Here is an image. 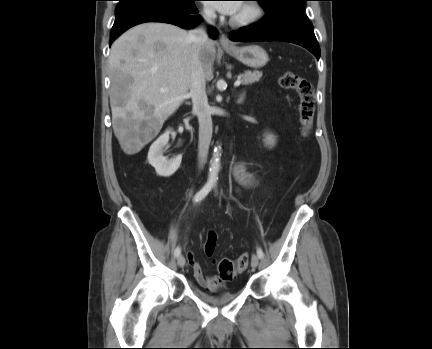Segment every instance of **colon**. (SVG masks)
<instances>
[{
    "label": "colon",
    "mask_w": 432,
    "mask_h": 349,
    "mask_svg": "<svg viewBox=\"0 0 432 349\" xmlns=\"http://www.w3.org/2000/svg\"><path fill=\"white\" fill-rule=\"evenodd\" d=\"M279 85L284 89L294 90L299 96V121L303 135H308L313 125L315 114V93L313 85L293 72H285L279 78ZM217 244V236L210 232L205 242L206 255L212 256ZM249 264L248 254H242L237 260L222 258L217 261V270L222 280H233L246 270Z\"/></svg>",
    "instance_id": "5ec220e1"
}]
</instances>
